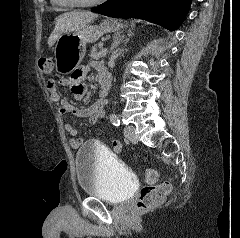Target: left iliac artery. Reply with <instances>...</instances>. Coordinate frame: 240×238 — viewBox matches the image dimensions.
Instances as JSON below:
<instances>
[{
    "label": "left iliac artery",
    "mask_w": 240,
    "mask_h": 238,
    "mask_svg": "<svg viewBox=\"0 0 240 238\" xmlns=\"http://www.w3.org/2000/svg\"><path fill=\"white\" fill-rule=\"evenodd\" d=\"M110 121H111L112 124L115 125V126H120V125H121L120 119H119L118 116L115 115V114H112V115L110 116Z\"/></svg>",
    "instance_id": "obj_1"
}]
</instances>
